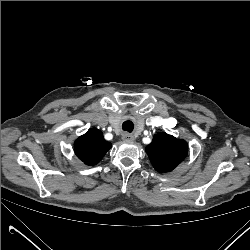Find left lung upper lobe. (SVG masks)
<instances>
[{"label": "left lung upper lobe", "mask_w": 250, "mask_h": 250, "mask_svg": "<svg viewBox=\"0 0 250 250\" xmlns=\"http://www.w3.org/2000/svg\"><path fill=\"white\" fill-rule=\"evenodd\" d=\"M146 153L157 172H169L176 168L187 156V142L166 133H158L146 146Z\"/></svg>", "instance_id": "left-lung-upper-lobe-1"}]
</instances>
